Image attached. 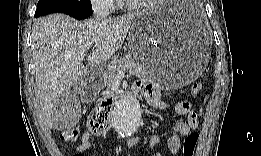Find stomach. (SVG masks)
Here are the masks:
<instances>
[{
  "instance_id": "stomach-1",
  "label": "stomach",
  "mask_w": 261,
  "mask_h": 156,
  "mask_svg": "<svg viewBox=\"0 0 261 156\" xmlns=\"http://www.w3.org/2000/svg\"><path fill=\"white\" fill-rule=\"evenodd\" d=\"M185 1L163 2L133 21L131 53L162 88H178L196 80L208 63L210 42L187 14ZM103 69L88 73L82 84L95 95L103 86Z\"/></svg>"
}]
</instances>
